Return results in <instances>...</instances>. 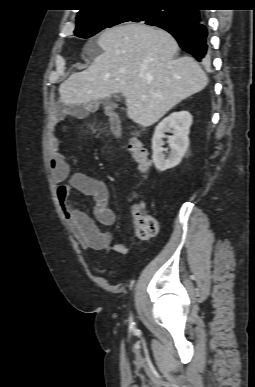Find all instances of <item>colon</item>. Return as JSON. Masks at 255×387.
I'll use <instances>...</instances> for the list:
<instances>
[{
  "mask_svg": "<svg viewBox=\"0 0 255 387\" xmlns=\"http://www.w3.org/2000/svg\"><path fill=\"white\" fill-rule=\"evenodd\" d=\"M127 148L134 157L139 169L144 174H148L151 170V161L141 142L136 138H130L127 143ZM132 224L136 234L140 238H150L158 233V220L154 216L146 214L144 206L140 203L132 206Z\"/></svg>",
  "mask_w": 255,
  "mask_h": 387,
  "instance_id": "1",
  "label": "colon"
}]
</instances>
